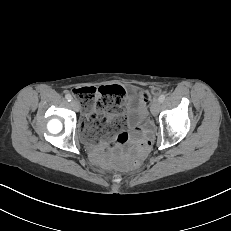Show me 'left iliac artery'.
I'll list each match as a JSON object with an SVG mask.
<instances>
[{"instance_id":"44dca946","label":"left iliac artery","mask_w":231,"mask_h":231,"mask_svg":"<svg viewBox=\"0 0 231 231\" xmlns=\"http://www.w3.org/2000/svg\"><path fill=\"white\" fill-rule=\"evenodd\" d=\"M164 100H165V95H164V94H161V95L159 96V101L162 103Z\"/></svg>"}]
</instances>
